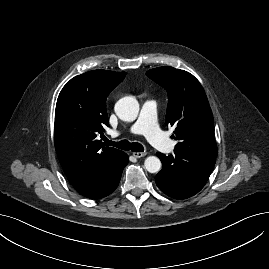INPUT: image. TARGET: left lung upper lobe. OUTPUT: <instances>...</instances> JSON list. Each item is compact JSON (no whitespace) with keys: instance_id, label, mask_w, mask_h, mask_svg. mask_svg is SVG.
<instances>
[{"instance_id":"left-lung-upper-lobe-1","label":"left lung upper lobe","mask_w":269,"mask_h":269,"mask_svg":"<svg viewBox=\"0 0 269 269\" xmlns=\"http://www.w3.org/2000/svg\"><path fill=\"white\" fill-rule=\"evenodd\" d=\"M146 75L168 92L166 125L175 127V149L217 157L213 115L199 81L169 66L151 69Z\"/></svg>"}]
</instances>
